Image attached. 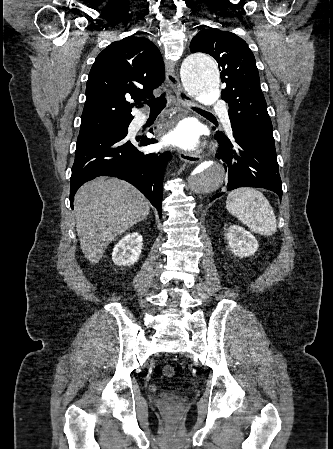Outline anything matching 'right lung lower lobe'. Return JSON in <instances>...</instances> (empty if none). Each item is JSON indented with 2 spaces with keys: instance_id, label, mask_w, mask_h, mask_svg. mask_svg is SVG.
<instances>
[{
  "instance_id": "1",
  "label": "right lung lower lobe",
  "mask_w": 333,
  "mask_h": 449,
  "mask_svg": "<svg viewBox=\"0 0 333 449\" xmlns=\"http://www.w3.org/2000/svg\"><path fill=\"white\" fill-rule=\"evenodd\" d=\"M150 132L153 133L152 129ZM128 129L96 134L79 135L72 167L70 205L74 194L85 182L98 176H114L138 188L162 214L163 176L169 154L149 153L138 150L154 144L155 139L146 136L130 141Z\"/></svg>"
}]
</instances>
